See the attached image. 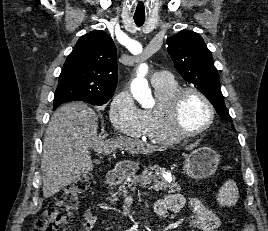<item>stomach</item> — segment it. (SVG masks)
I'll list each match as a JSON object with an SVG mask.
<instances>
[{"label":"stomach","instance_id":"1","mask_svg":"<svg viewBox=\"0 0 268 231\" xmlns=\"http://www.w3.org/2000/svg\"><path fill=\"white\" fill-rule=\"evenodd\" d=\"M219 161V155L214 150L201 147L185 156L183 170L191 178L205 179L215 173ZM120 167L125 176H133L138 169V164L126 161L122 162Z\"/></svg>","mask_w":268,"mask_h":231}]
</instances>
